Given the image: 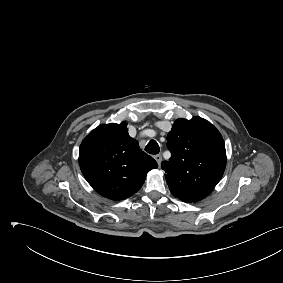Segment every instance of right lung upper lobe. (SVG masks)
Returning a JSON list of instances; mask_svg holds the SVG:
<instances>
[{
	"instance_id": "cb5924a9",
	"label": "right lung upper lobe",
	"mask_w": 283,
	"mask_h": 283,
	"mask_svg": "<svg viewBox=\"0 0 283 283\" xmlns=\"http://www.w3.org/2000/svg\"><path fill=\"white\" fill-rule=\"evenodd\" d=\"M79 165L91 187L111 200L135 194L147 173L158 167L128 135L126 122L100 125L87 135L80 146Z\"/></svg>"
}]
</instances>
